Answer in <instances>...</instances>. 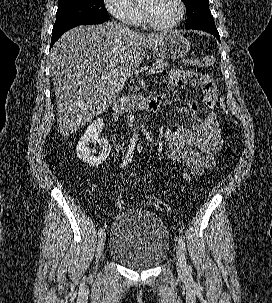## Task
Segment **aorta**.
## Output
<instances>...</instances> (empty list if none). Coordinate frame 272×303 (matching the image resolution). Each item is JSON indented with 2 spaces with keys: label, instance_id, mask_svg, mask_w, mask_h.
<instances>
[{
  "label": "aorta",
  "instance_id": "aorta-1",
  "mask_svg": "<svg viewBox=\"0 0 272 303\" xmlns=\"http://www.w3.org/2000/svg\"><path fill=\"white\" fill-rule=\"evenodd\" d=\"M133 131L134 132H133V137H132L131 142L135 144L138 140V132L136 131V129H134Z\"/></svg>",
  "mask_w": 272,
  "mask_h": 303
}]
</instances>
